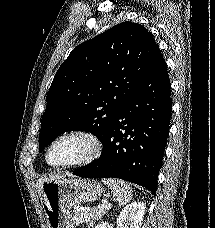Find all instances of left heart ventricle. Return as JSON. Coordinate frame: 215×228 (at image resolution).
<instances>
[{
	"label": "left heart ventricle",
	"instance_id": "b2bd125f",
	"mask_svg": "<svg viewBox=\"0 0 215 228\" xmlns=\"http://www.w3.org/2000/svg\"><path fill=\"white\" fill-rule=\"evenodd\" d=\"M85 149L82 141L67 139L57 143L48 155L51 165H61L70 162L80 156Z\"/></svg>",
	"mask_w": 215,
	"mask_h": 228
}]
</instances>
